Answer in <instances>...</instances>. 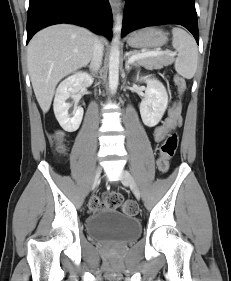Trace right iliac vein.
<instances>
[{"mask_svg":"<svg viewBox=\"0 0 231 281\" xmlns=\"http://www.w3.org/2000/svg\"><path fill=\"white\" fill-rule=\"evenodd\" d=\"M100 174H101V168L98 167L96 169L95 178H94V182H93L94 186L99 182Z\"/></svg>","mask_w":231,"mask_h":281,"instance_id":"1","label":"right iliac vein"}]
</instances>
